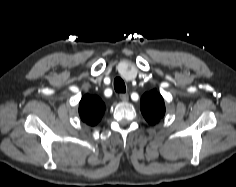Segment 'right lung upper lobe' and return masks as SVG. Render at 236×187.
I'll use <instances>...</instances> for the list:
<instances>
[{
	"label": "right lung upper lobe",
	"instance_id": "obj_1",
	"mask_svg": "<svg viewBox=\"0 0 236 187\" xmlns=\"http://www.w3.org/2000/svg\"><path fill=\"white\" fill-rule=\"evenodd\" d=\"M105 104L97 96L86 94L79 103V115L81 120L88 125H96L102 118Z\"/></svg>",
	"mask_w": 236,
	"mask_h": 187
}]
</instances>
